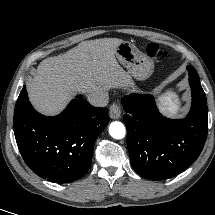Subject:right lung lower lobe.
I'll list each match as a JSON object with an SVG mask.
<instances>
[{
    "label": "right lung lower lobe",
    "mask_w": 215,
    "mask_h": 215,
    "mask_svg": "<svg viewBox=\"0 0 215 215\" xmlns=\"http://www.w3.org/2000/svg\"><path fill=\"white\" fill-rule=\"evenodd\" d=\"M18 100L25 109L14 119L19 151L38 176L55 183L83 177L91 166L96 138L108 124L107 108L90 105L78 95L57 116L38 113L23 87Z\"/></svg>",
    "instance_id": "1"
}]
</instances>
